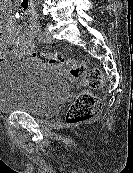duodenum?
Returning <instances> with one entry per match:
<instances>
[{
	"instance_id": "obj_1",
	"label": "duodenum",
	"mask_w": 133,
	"mask_h": 173,
	"mask_svg": "<svg viewBox=\"0 0 133 173\" xmlns=\"http://www.w3.org/2000/svg\"><path fill=\"white\" fill-rule=\"evenodd\" d=\"M22 2H23V5L26 7H30L31 5V0H22Z\"/></svg>"
}]
</instances>
